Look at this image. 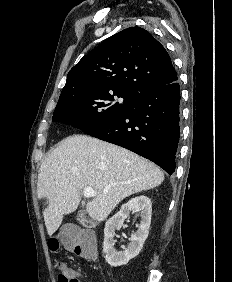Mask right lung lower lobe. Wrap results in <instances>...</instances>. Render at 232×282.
I'll return each instance as SVG.
<instances>
[{
    "label": "right lung lower lobe",
    "instance_id": "1",
    "mask_svg": "<svg viewBox=\"0 0 232 282\" xmlns=\"http://www.w3.org/2000/svg\"><path fill=\"white\" fill-rule=\"evenodd\" d=\"M179 105L180 86L175 80L144 90L131 110L84 132L131 150L171 175L180 137Z\"/></svg>",
    "mask_w": 232,
    "mask_h": 282
}]
</instances>
